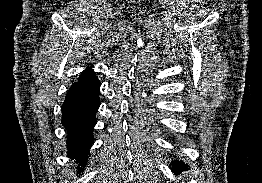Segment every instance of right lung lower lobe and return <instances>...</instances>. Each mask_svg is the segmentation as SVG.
Wrapping results in <instances>:
<instances>
[{
  "label": "right lung lower lobe",
  "mask_w": 262,
  "mask_h": 183,
  "mask_svg": "<svg viewBox=\"0 0 262 183\" xmlns=\"http://www.w3.org/2000/svg\"><path fill=\"white\" fill-rule=\"evenodd\" d=\"M100 85L92 66L86 68L70 86L62 106V125L68 132V156L78 160L82 167L87 163L89 148L93 142L92 131L100 106Z\"/></svg>",
  "instance_id": "98d812e1"
}]
</instances>
